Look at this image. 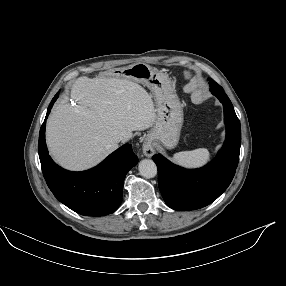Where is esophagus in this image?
Returning a JSON list of instances; mask_svg holds the SVG:
<instances>
[{"mask_svg": "<svg viewBox=\"0 0 286 286\" xmlns=\"http://www.w3.org/2000/svg\"><path fill=\"white\" fill-rule=\"evenodd\" d=\"M142 152L146 157H152L155 153V149L150 141H145L142 145Z\"/></svg>", "mask_w": 286, "mask_h": 286, "instance_id": "obj_1", "label": "esophagus"}]
</instances>
